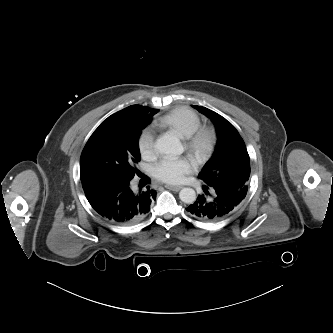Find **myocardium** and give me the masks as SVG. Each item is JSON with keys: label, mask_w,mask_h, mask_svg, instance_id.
<instances>
[{"label": "myocardium", "mask_w": 333, "mask_h": 333, "mask_svg": "<svg viewBox=\"0 0 333 333\" xmlns=\"http://www.w3.org/2000/svg\"><path fill=\"white\" fill-rule=\"evenodd\" d=\"M218 134L212 126L199 127L193 134L185 138V147L197 165L207 163L215 153Z\"/></svg>", "instance_id": "f54148a6"}]
</instances>
